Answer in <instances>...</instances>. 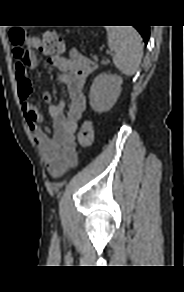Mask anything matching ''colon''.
<instances>
[{
    "mask_svg": "<svg viewBox=\"0 0 184 292\" xmlns=\"http://www.w3.org/2000/svg\"><path fill=\"white\" fill-rule=\"evenodd\" d=\"M9 38L13 44V53L16 59L25 60L28 52L29 38L25 30L22 28H12L9 31ZM64 47L62 39L56 32L48 30L42 35L40 51L47 56H54L62 52ZM94 139L93 125L89 121H85L78 132V142L80 149L88 148Z\"/></svg>",
    "mask_w": 184,
    "mask_h": 292,
    "instance_id": "5ec220e1",
    "label": "colon"
}]
</instances>
